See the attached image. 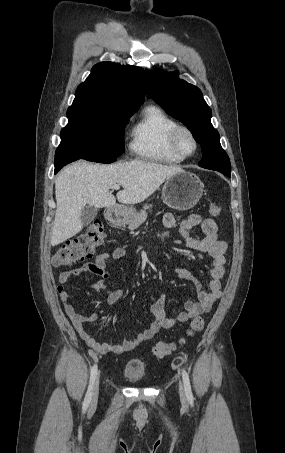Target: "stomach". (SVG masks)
<instances>
[{
  "label": "stomach",
  "instance_id": "stomach-1",
  "mask_svg": "<svg viewBox=\"0 0 285 453\" xmlns=\"http://www.w3.org/2000/svg\"><path fill=\"white\" fill-rule=\"evenodd\" d=\"M204 192V184L200 178L191 172H177L166 179L162 188L164 202L171 208L184 211L195 206ZM131 208L122 210L112 209L108 219L116 226L128 223Z\"/></svg>",
  "mask_w": 285,
  "mask_h": 453
}]
</instances>
